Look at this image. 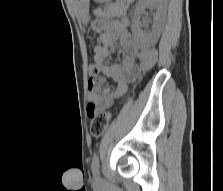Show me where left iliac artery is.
Segmentation results:
<instances>
[{"label": "left iliac artery", "instance_id": "left-iliac-artery-1", "mask_svg": "<svg viewBox=\"0 0 223 191\" xmlns=\"http://www.w3.org/2000/svg\"><path fill=\"white\" fill-rule=\"evenodd\" d=\"M91 170L94 175L98 177L99 175V158L98 155H94L92 164H91Z\"/></svg>", "mask_w": 223, "mask_h": 191}]
</instances>
